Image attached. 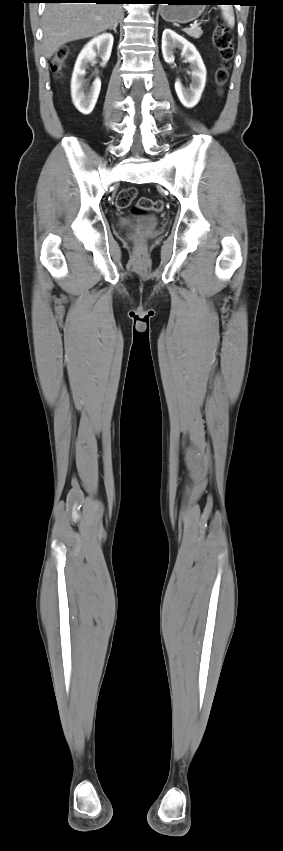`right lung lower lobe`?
Wrapping results in <instances>:
<instances>
[{
	"label": "right lung lower lobe",
	"instance_id": "obj_1",
	"mask_svg": "<svg viewBox=\"0 0 283 851\" xmlns=\"http://www.w3.org/2000/svg\"><path fill=\"white\" fill-rule=\"evenodd\" d=\"M44 2H60V3H102V4H123L134 3V0H44Z\"/></svg>",
	"mask_w": 283,
	"mask_h": 851
}]
</instances>
